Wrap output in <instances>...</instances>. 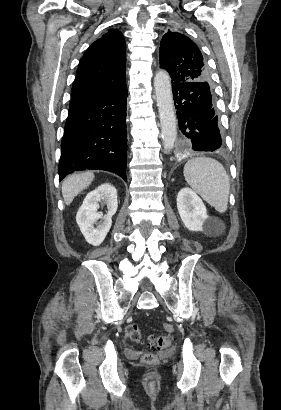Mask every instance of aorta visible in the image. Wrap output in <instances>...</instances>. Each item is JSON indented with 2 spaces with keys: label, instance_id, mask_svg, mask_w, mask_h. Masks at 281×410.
Instances as JSON below:
<instances>
[{
  "label": "aorta",
  "instance_id": "obj_1",
  "mask_svg": "<svg viewBox=\"0 0 281 410\" xmlns=\"http://www.w3.org/2000/svg\"><path fill=\"white\" fill-rule=\"evenodd\" d=\"M154 89L161 123L165 151H171L177 138V119L172 98L171 80L167 72L159 71L154 78Z\"/></svg>",
  "mask_w": 281,
  "mask_h": 410
}]
</instances>
